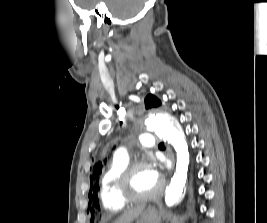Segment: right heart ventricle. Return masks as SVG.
<instances>
[{
  "instance_id": "1",
  "label": "right heart ventricle",
  "mask_w": 267,
  "mask_h": 223,
  "mask_svg": "<svg viewBox=\"0 0 267 223\" xmlns=\"http://www.w3.org/2000/svg\"><path fill=\"white\" fill-rule=\"evenodd\" d=\"M128 164V158L115 156L102 176L100 199L107 211L115 212L126 205L117 192L116 182L119 174Z\"/></svg>"
}]
</instances>
